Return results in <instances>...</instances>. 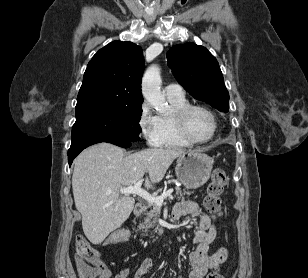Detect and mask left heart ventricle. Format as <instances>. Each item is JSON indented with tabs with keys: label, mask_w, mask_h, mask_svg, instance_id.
Instances as JSON below:
<instances>
[{
	"label": "left heart ventricle",
	"mask_w": 308,
	"mask_h": 278,
	"mask_svg": "<svg viewBox=\"0 0 308 278\" xmlns=\"http://www.w3.org/2000/svg\"><path fill=\"white\" fill-rule=\"evenodd\" d=\"M185 123L190 135L196 139L207 138L213 129L211 117L200 109L190 111L186 117Z\"/></svg>",
	"instance_id": "b2bd125f"
}]
</instances>
